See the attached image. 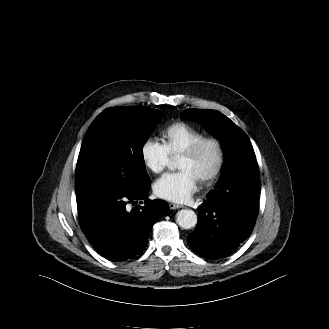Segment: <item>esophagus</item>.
Returning <instances> with one entry per match:
<instances>
[{
	"instance_id": "esophagus-1",
	"label": "esophagus",
	"mask_w": 329,
	"mask_h": 329,
	"mask_svg": "<svg viewBox=\"0 0 329 329\" xmlns=\"http://www.w3.org/2000/svg\"><path fill=\"white\" fill-rule=\"evenodd\" d=\"M169 207H170L171 210H174V209L181 208L183 206L182 205H179V204H175V203H170L169 204Z\"/></svg>"
}]
</instances>
